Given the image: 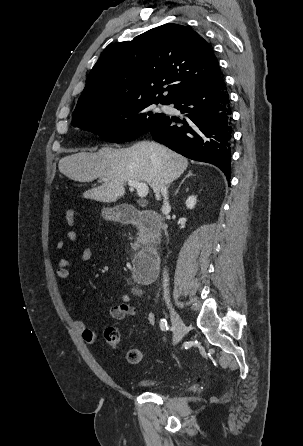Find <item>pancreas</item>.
Segmentation results:
<instances>
[{
  "mask_svg": "<svg viewBox=\"0 0 303 446\" xmlns=\"http://www.w3.org/2000/svg\"><path fill=\"white\" fill-rule=\"evenodd\" d=\"M138 235H139V236L137 237V241L134 242V243H131V248H132L133 250H136L137 248L140 247V242H141V240H142L141 232H139Z\"/></svg>",
  "mask_w": 303,
  "mask_h": 446,
  "instance_id": "cf45deb5",
  "label": "pancreas"
}]
</instances>
